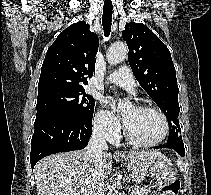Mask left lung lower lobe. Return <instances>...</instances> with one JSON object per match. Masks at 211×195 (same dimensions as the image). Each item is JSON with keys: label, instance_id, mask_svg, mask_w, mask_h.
Instances as JSON below:
<instances>
[{"label": "left lung lower lobe", "instance_id": "left-lung-lower-lobe-1", "mask_svg": "<svg viewBox=\"0 0 211 195\" xmlns=\"http://www.w3.org/2000/svg\"><path fill=\"white\" fill-rule=\"evenodd\" d=\"M154 148H156V149L169 148V149H173L176 152H178L182 157H184V155H185V149H184L183 141L167 143L165 145L157 146V147H154Z\"/></svg>", "mask_w": 211, "mask_h": 195}]
</instances>
